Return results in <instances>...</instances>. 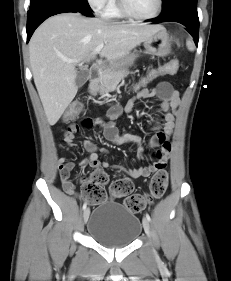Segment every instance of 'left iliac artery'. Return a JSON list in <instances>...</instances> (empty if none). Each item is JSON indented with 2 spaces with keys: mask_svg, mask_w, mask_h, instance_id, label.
I'll return each instance as SVG.
<instances>
[{
  "mask_svg": "<svg viewBox=\"0 0 231 281\" xmlns=\"http://www.w3.org/2000/svg\"><path fill=\"white\" fill-rule=\"evenodd\" d=\"M146 219H147L149 222L151 221V218H150V216H149L148 213H146Z\"/></svg>",
  "mask_w": 231,
  "mask_h": 281,
  "instance_id": "left-iliac-artery-1",
  "label": "left iliac artery"
}]
</instances>
